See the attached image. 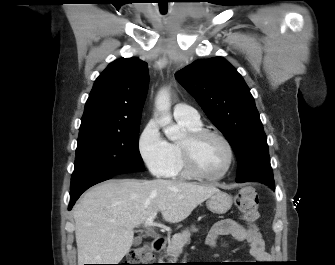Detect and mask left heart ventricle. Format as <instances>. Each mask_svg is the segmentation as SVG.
I'll return each mask as SVG.
<instances>
[{"instance_id":"b2bd125f","label":"left heart ventricle","mask_w":335,"mask_h":265,"mask_svg":"<svg viewBox=\"0 0 335 265\" xmlns=\"http://www.w3.org/2000/svg\"><path fill=\"white\" fill-rule=\"evenodd\" d=\"M195 161L203 173L217 175L223 171L227 164V148L218 138L207 137L197 145Z\"/></svg>"}]
</instances>
